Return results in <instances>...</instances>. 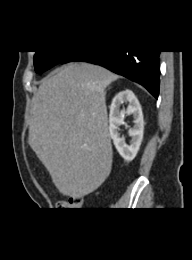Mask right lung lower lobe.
I'll return each mask as SVG.
<instances>
[{"label":"right lung lower lobe","instance_id":"obj_1","mask_svg":"<svg viewBox=\"0 0 192 260\" xmlns=\"http://www.w3.org/2000/svg\"><path fill=\"white\" fill-rule=\"evenodd\" d=\"M160 51H74L69 52L62 64L84 61L103 66L144 86L155 98L159 95Z\"/></svg>","mask_w":192,"mask_h":260}]
</instances>
